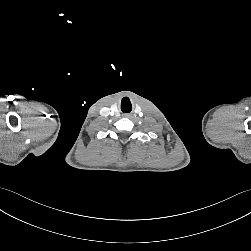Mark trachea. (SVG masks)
I'll return each instance as SVG.
<instances>
[{
  "label": "trachea",
  "instance_id": "1",
  "mask_svg": "<svg viewBox=\"0 0 251 251\" xmlns=\"http://www.w3.org/2000/svg\"><path fill=\"white\" fill-rule=\"evenodd\" d=\"M130 111H131V108L128 111H123V112H130Z\"/></svg>",
  "mask_w": 251,
  "mask_h": 251
}]
</instances>
